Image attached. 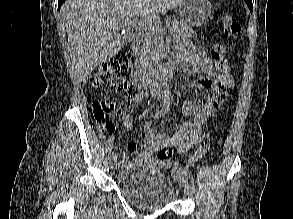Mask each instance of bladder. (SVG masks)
Here are the masks:
<instances>
[{
	"label": "bladder",
	"mask_w": 293,
	"mask_h": 219,
	"mask_svg": "<svg viewBox=\"0 0 293 219\" xmlns=\"http://www.w3.org/2000/svg\"><path fill=\"white\" fill-rule=\"evenodd\" d=\"M116 184L129 200L142 207L161 208L178 197L172 180L152 167H127L117 173Z\"/></svg>",
	"instance_id": "bladder-1"
}]
</instances>
